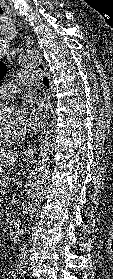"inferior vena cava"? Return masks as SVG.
Returning a JSON list of instances; mask_svg holds the SVG:
<instances>
[{
    "mask_svg": "<svg viewBox=\"0 0 113 279\" xmlns=\"http://www.w3.org/2000/svg\"><path fill=\"white\" fill-rule=\"evenodd\" d=\"M27 245L23 244V247L21 248V253L19 255L18 258V263H17V267L20 270V272H25L26 268H27V261H26V256H27Z\"/></svg>",
    "mask_w": 113,
    "mask_h": 279,
    "instance_id": "602c4592",
    "label": "inferior vena cava"
}]
</instances>
